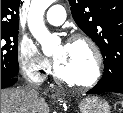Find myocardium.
Returning <instances> with one entry per match:
<instances>
[{"instance_id": "myocardium-1", "label": "myocardium", "mask_w": 123, "mask_h": 113, "mask_svg": "<svg viewBox=\"0 0 123 113\" xmlns=\"http://www.w3.org/2000/svg\"><path fill=\"white\" fill-rule=\"evenodd\" d=\"M76 42H82L86 44L93 55L94 66H93L92 76L86 81H76V80L66 78L60 73L57 64H54L53 76L58 82H61L63 84H66L72 87L82 88V89L90 88L96 85L101 78L102 66H103V55L97 43L90 36L86 34L77 33V34H74L68 40V44L76 43Z\"/></svg>"}]
</instances>
